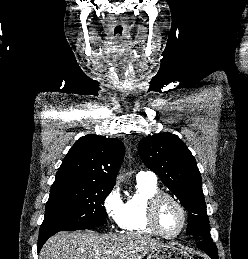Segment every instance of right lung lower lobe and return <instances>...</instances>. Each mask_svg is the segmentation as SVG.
<instances>
[{
  "instance_id": "98d812e1",
  "label": "right lung lower lobe",
  "mask_w": 248,
  "mask_h": 259,
  "mask_svg": "<svg viewBox=\"0 0 248 259\" xmlns=\"http://www.w3.org/2000/svg\"><path fill=\"white\" fill-rule=\"evenodd\" d=\"M54 234L55 232L39 235L38 244H37L38 252L41 250L43 244L47 241V239Z\"/></svg>"
}]
</instances>
